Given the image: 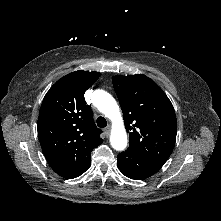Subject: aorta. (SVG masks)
Returning <instances> with one entry per match:
<instances>
[{
    "label": "aorta",
    "mask_w": 221,
    "mask_h": 221,
    "mask_svg": "<svg viewBox=\"0 0 221 221\" xmlns=\"http://www.w3.org/2000/svg\"><path fill=\"white\" fill-rule=\"evenodd\" d=\"M93 98L95 107L113 122L111 146L117 151L124 150L127 146V134L118 104L109 93L103 90L95 91Z\"/></svg>",
    "instance_id": "1"
}]
</instances>
